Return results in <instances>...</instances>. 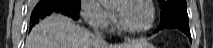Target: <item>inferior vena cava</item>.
<instances>
[{
    "label": "inferior vena cava",
    "mask_w": 213,
    "mask_h": 48,
    "mask_svg": "<svg viewBox=\"0 0 213 48\" xmlns=\"http://www.w3.org/2000/svg\"><path fill=\"white\" fill-rule=\"evenodd\" d=\"M95 37L97 40H99L100 42L105 43V39L102 37L101 33H99V31H95Z\"/></svg>",
    "instance_id": "obj_1"
}]
</instances>
